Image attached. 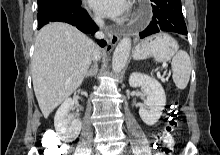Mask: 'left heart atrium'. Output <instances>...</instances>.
Segmentation results:
<instances>
[{"label":"left heart atrium","instance_id":"1","mask_svg":"<svg viewBox=\"0 0 220 155\" xmlns=\"http://www.w3.org/2000/svg\"><path fill=\"white\" fill-rule=\"evenodd\" d=\"M89 2L93 9L109 17L123 16L130 9L129 0H89Z\"/></svg>","mask_w":220,"mask_h":155}]
</instances>
